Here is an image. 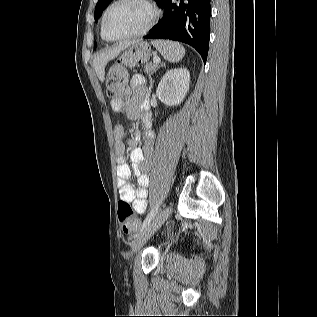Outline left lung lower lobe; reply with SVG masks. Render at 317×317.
<instances>
[{"label":"left lung lower lobe","mask_w":317,"mask_h":317,"mask_svg":"<svg viewBox=\"0 0 317 317\" xmlns=\"http://www.w3.org/2000/svg\"><path fill=\"white\" fill-rule=\"evenodd\" d=\"M162 19L151 29L146 39H171L194 47L206 62L209 49L210 0H165Z\"/></svg>","instance_id":"0a47b994"}]
</instances>
